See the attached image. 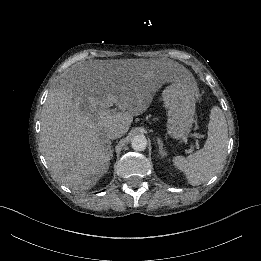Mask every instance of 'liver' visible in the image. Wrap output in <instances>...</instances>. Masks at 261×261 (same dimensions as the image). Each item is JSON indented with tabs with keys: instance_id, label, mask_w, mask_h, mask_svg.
I'll return each instance as SVG.
<instances>
[{
	"instance_id": "1",
	"label": "liver",
	"mask_w": 261,
	"mask_h": 261,
	"mask_svg": "<svg viewBox=\"0 0 261 261\" xmlns=\"http://www.w3.org/2000/svg\"><path fill=\"white\" fill-rule=\"evenodd\" d=\"M159 67L146 64L80 63L49 92L40 121V144L55 180L73 190H88L108 171L107 132L126 133L147 110L166 81ZM173 76L179 81L186 69ZM115 104L120 111L109 107Z\"/></svg>"
}]
</instances>
